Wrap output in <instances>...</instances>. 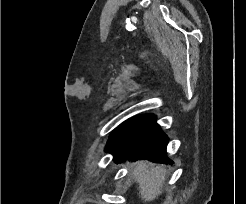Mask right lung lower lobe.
Here are the masks:
<instances>
[{"instance_id":"right-lung-lower-lobe-1","label":"right lung lower lobe","mask_w":246,"mask_h":204,"mask_svg":"<svg viewBox=\"0 0 246 204\" xmlns=\"http://www.w3.org/2000/svg\"><path fill=\"white\" fill-rule=\"evenodd\" d=\"M168 137L156 123V117L151 114L139 115L124 122L117 139L109 151L115 162L147 159L155 163H169L172 160L166 156Z\"/></svg>"}]
</instances>
